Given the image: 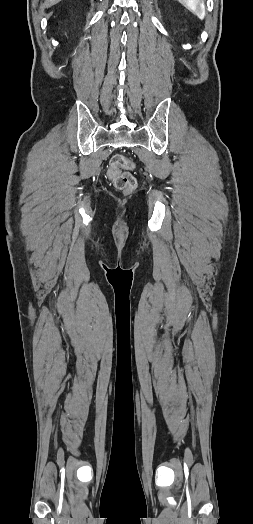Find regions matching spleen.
<instances>
[{
  "instance_id": "obj_1",
  "label": "spleen",
  "mask_w": 253,
  "mask_h": 524,
  "mask_svg": "<svg viewBox=\"0 0 253 524\" xmlns=\"http://www.w3.org/2000/svg\"><path fill=\"white\" fill-rule=\"evenodd\" d=\"M184 7L203 20L205 17V8L202 0H178Z\"/></svg>"
}]
</instances>
